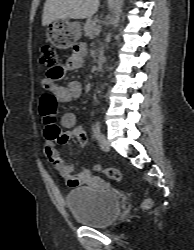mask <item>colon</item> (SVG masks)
Instances as JSON below:
<instances>
[{
	"mask_svg": "<svg viewBox=\"0 0 194 250\" xmlns=\"http://www.w3.org/2000/svg\"><path fill=\"white\" fill-rule=\"evenodd\" d=\"M40 62L48 66L50 68L49 76L52 79H58L61 77V68L59 65V56L56 52L55 48L51 45H43L41 48V55H40ZM57 109V101L55 96L52 93H45L41 96V114H49L53 115L56 113ZM82 130L74 131L70 134L72 138H76L78 142L81 145H84V142L82 141ZM97 171H102L108 178L114 180V181H120L122 176L120 171L117 168L114 167H107V168H100L96 167ZM152 205V202L150 199H146L143 202V207L145 209L150 208Z\"/></svg>",
	"mask_w": 194,
	"mask_h": 250,
	"instance_id": "1",
	"label": "colon"
}]
</instances>
